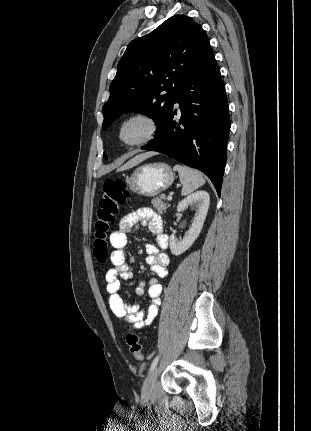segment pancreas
Instances as JSON below:
<instances>
[{"instance_id":"obj_1","label":"pancreas","mask_w":311,"mask_h":431,"mask_svg":"<svg viewBox=\"0 0 311 431\" xmlns=\"http://www.w3.org/2000/svg\"><path fill=\"white\" fill-rule=\"evenodd\" d=\"M163 200H165V196H163V194L151 200V204H153L152 208H154L158 214H164V212H166L167 208L170 206V204H165Z\"/></svg>"}]
</instances>
